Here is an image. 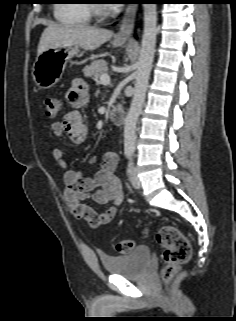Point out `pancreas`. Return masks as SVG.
Returning <instances> with one entry per match:
<instances>
[{
	"instance_id": "pancreas-1",
	"label": "pancreas",
	"mask_w": 236,
	"mask_h": 321,
	"mask_svg": "<svg viewBox=\"0 0 236 321\" xmlns=\"http://www.w3.org/2000/svg\"><path fill=\"white\" fill-rule=\"evenodd\" d=\"M85 76L98 80L102 74L108 72L107 62L103 59L96 60L83 69Z\"/></svg>"
}]
</instances>
